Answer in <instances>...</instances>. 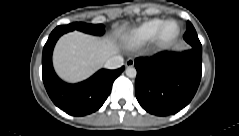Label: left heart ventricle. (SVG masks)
Wrapping results in <instances>:
<instances>
[{
	"label": "left heart ventricle",
	"instance_id": "1",
	"mask_svg": "<svg viewBox=\"0 0 239 136\" xmlns=\"http://www.w3.org/2000/svg\"><path fill=\"white\" fill-rule=\"evenodd\" d=\"M177 33V27L175 24L170 25L164 32V38L166 40L172 39Z\"/></svg>",
	"mask_w": 239,
	"mask_h": 136
}]
</instances>
